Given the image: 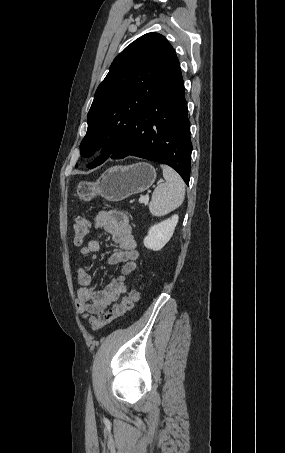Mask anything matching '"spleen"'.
I'll use <instances>...</instances> for the list:
<instances>
[{
	"label": "spleen",
	"instance_id": "spleen-1",
	"mask_svg": "<svg viewBox=\"0 0 285 453\" xmlns=\"http://www.w3.org/2000/svg\"><path fill=\"white\" fill-rule=\"evenodd\" d=\"M165 183L153 192L149 211L154 216H164L177 209L184 201L185 184L180 175L166 165H161Z\"/></svg>",
	"mask_w": 285,
	"mask_h": 453
}]
</instances>
